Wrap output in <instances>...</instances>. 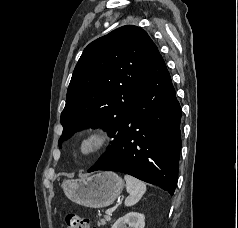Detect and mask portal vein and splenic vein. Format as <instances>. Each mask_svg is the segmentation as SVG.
Instances as JSON below:
<instances>
[{
    "instance_id": "obj_1",
    "label": "portal vein and splenic vein",
    "mask_w": 238,
    "mask_h": 228,
    "mask_svg": "<svg viewBox=\"0 0 238 228\" xmlns=\"http://www.w3.org/2000/svg\"><path fill=\"white\" fill-rule=\"evenodd\" d=\"M115 208H110L106 211L107 214H112L114 212Z\"/></svg>"
}]
</instances>
